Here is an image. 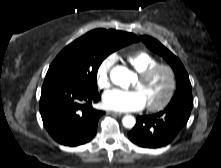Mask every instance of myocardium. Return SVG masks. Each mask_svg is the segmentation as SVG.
<instances>
[{"instance_id":"obj_1","label":"myocardium","mask_w":221,"mask_h":168,"mask_svg":"<svg viewBox=\"0 0 221 168\" xmlns=\"http://www.w3.org/2000/svg\"><path fill=\"white\" fill-rule=\"evenodd\" d=\"M164 70L166 71V73L168 74L169 77V87H168V91L165 95V97L158 103L156 104H147V108L150 111H160L162 109H164L172 100V98L174 97L176 88H177V76H176V72L173 69L172 66H170L169 64H165V63H158L154 66H152L151 68L145 70L144 72L139 74V80L141 82H147L148 80H150L157 72Z\"/></svg>"}]
</instances>
